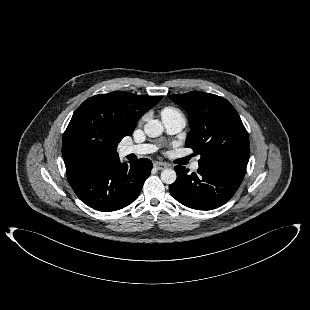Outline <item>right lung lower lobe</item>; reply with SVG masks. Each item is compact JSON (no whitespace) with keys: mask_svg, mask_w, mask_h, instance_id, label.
<instances>
[{"mask_svg":"<svg viewBox=\"0 0 310 310\" xmlns=\"http://www.w3.org/2000/svg\"><path fill=\"white\" fill-rule=\"evenodd\" d=\"M153 165L149 159L121 163L119 158L95 160L66 169L76 195L104 212L121 209L139 195Z\"/></svg>","mask_w":310,"mask_h":310,"instance_id":"obj_1","label":"right lung lower lobe"}]
</instances>
